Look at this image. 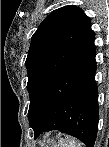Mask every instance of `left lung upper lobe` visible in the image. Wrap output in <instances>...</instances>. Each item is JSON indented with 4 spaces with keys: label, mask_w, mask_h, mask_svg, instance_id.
I'll return each mask as SVG.
<instances>
[{
    "label": "left lung upper lobe",
    "mask_w": 109,
    "mask_h": 147,
    "mask_svg": "<svg viewBox=\"0 0 109 147\" xmlns=\"http://www.w3.org/2000/svg\"><path fill=\"white\" fill-rule=\"evenodd\" d=\"M91 25L81 8L65 5L52 11L31 37L25 61L30 125L38 120L60 71L94 36Z\"/></svg>",
    "instance_id": "left-lung-upper-lobe-1"
}]
</instances>
